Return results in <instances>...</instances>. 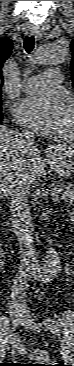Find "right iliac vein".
I'll use <instances>...</instances> for the list:
<instances>
[{"label": "right iliac vein", "mask_w": 74, "mask_h": 366, "mask_svg": "<svg viewBox=\"0 0 74 366\" xmlns=\"http://www.w3.org/2000/svg\"><path fill=\"white\" fill-rule=\"evenodd\" d=\"M11 313V319L14 325H18L21 323L23 315L20 312L18 307H12L10 310Z\"/></svg>", "instance_id": "63e3f726"}]
</instances>
